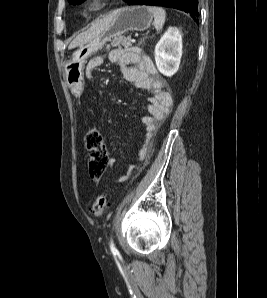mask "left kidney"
Wrapping results in <instances>:
<instances>
[{
	"instance_id": "1",
	"label": "left kidney",
	"mask_w": 267,
	"mask_h": 298,
	"mask_svg": "<svg viewBox=\"0 0 267 298\" xmlns=\"http://www.w3.org/2000/svg\"><path fill=\"white\" fill-rule=\"evenodd\" d=\"M182 57V36L176 27H169L155 46V63L160 73L173 76Z\"/></svg>"
}]
</instances>
